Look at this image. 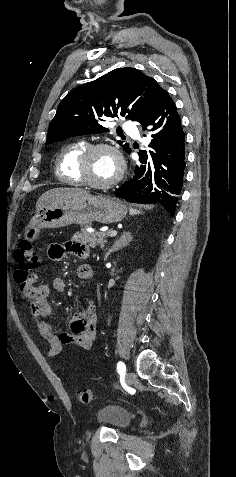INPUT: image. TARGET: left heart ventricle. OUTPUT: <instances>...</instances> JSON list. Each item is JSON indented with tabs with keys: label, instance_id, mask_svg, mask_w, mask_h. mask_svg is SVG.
<instances>
[{
	"label": "left heart ventricle",
	"instance_id": "left-heart-ventricle-1",
	"mask_svg": "<svg viewBox=\"0 0 236 477\" xmlns=\"http://www.w3.org/2000/svg\"><path fill=\"white\" fill-rule=\"evenodd\" d=\"M118 172V162L109 150H98L88 162V177L94 182H108Z\"/></svg>",
	"mask_w": 236,
	"mask_h": 477
}]
</instances>
